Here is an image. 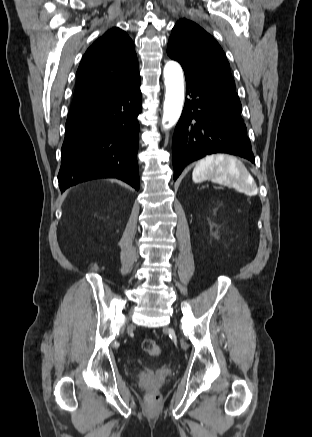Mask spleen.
Listing matches in <instances>:
<instances>
[{"instance_id":"1","label":"spleen","mask_w":312,"mask_h":437,"mask_svg":"<svg viewBox=\"0 0 312 437\" xmlns=\"http://www.w3.org/2000/svg\"><path fill=\"white\" fill-rule=\"evenodd\" d=\"M192 178L195 183L209 178L218 183L231 185L247 195H255L258 192L257 185L245 165L237 158L226 154L210 155L201 159L193 170Z\"/></svg>"}]
</instances>
